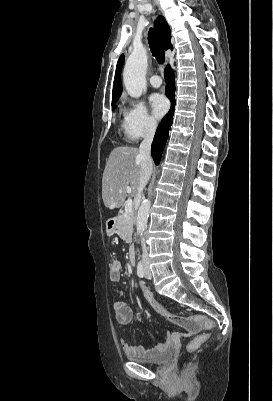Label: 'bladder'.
Listing matches in <instances>:
<instances>
[{
	"label": "bladder",
	"instance_id": "bladder-1",
	"mask_svg": "<svg viewBox=\"0 0 273 401\" xmlns=\"http://www.w3.org/2000/svg\"><path fill=\"white\" fill-rule=\"evenodd\" d=\"M173 354H174L173 350L168 349V350L164 351L156 359L145 360V359H140L138 357H133V356H129V359L132 361L138 362V363H142V364H149V365H154V366H164L171 361Z\"/></svg>",
	"mask_w": 273,
	"mask_h": 401
}]
</instances>
